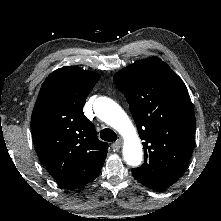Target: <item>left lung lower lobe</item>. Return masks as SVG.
Listing matches in <instances>:
<instances>
[{
  "label": "left lung lower lobe",
  "instance_id": "1",
  "mask_svg": "<svg viewBox=\"0 0 221 221\" xmlns=\"http://www.w3.org/2000/svg\"><path fill=\"white\" fill-rule=\"evenodd\" d=\"M173 183H148V184H144L147 187L153 189V190H161L164 188H167L169 186H171Z\"/></svg>",
  "mask_w": 221,
  "mask_h": 221
}]
</instances>
